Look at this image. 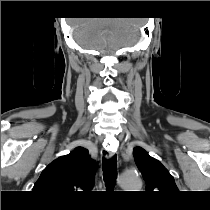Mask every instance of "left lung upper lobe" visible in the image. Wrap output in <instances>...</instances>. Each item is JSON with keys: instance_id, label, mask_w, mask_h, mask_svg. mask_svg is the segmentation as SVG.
Segmentation results:
<instances>
[{"instance_id": "1", "label": "left lung upper lobe", "mask_w": 210, "mask_h": 210, "mask_svg": "<svg viewBox=\"0 0 210 210\" xmlns=\"http://www.w3.org/2000/svg\"><path fill=\"white\" fill-rule=\"evenodd\" d=\"M133 156L143 179L146 182V191H160V193L177 192L174 178L160 161L151 157L143 148L135 147Z\"/></svg>"}]
</instances>
